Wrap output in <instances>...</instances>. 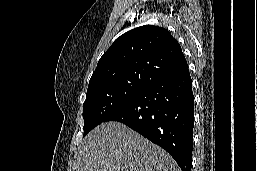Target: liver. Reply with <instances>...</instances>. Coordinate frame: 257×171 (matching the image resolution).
<instances>
[{
  "instance_id": "1",
  "label": "liver",
  "mask_w": 257,
  "mask_h": 171,
  "mask_svg": "<svg viewBox=\"0 0 257 171\" xmlns=\"http://www.w3.org/2000/svg\"><path fill=\"white\" fill-rule=\"evenodd\" d=\"M74 171H181L174 159L120 122H105L83 140Z\"/></svg>"
}]
</instances>
